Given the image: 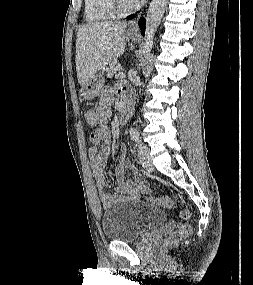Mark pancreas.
<instances>
[{"mask_svg":"<svg viewBox=\"0 0 253 285\" xmlns=\"http://www.w3.org/2000/svg\"><path fill=\"white\" fill-rule=\"evenodd\" d=\"M123 68L121 67L120 64L116 62L110 63L107 68H106V76L108 78H112L115 76L118 72H120Z\"/></svg>","mask_w":253,"mask_h":285,"instance_id":"obj_1","label":"pancreas"}]
</instances>
